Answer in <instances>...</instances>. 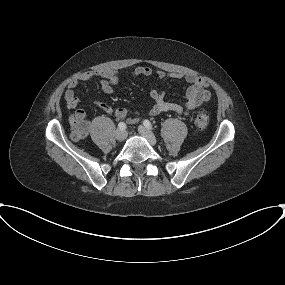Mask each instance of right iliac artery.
Masks as SVG:
<instances>
[{
  "label": "right iliac artery",
  "instance_id": "1",
  "mask_svg": "<svg viewBox=\"0 0 285 285\" xmlns=\"http://www.w3.org/2000/svg\"><path fill=\"white\" fill-rule=\"evenodd\" d=\"M118 128H119L120 130H125V129H126V124H125L124 122H120V123L118 124Z\"/></svg>",
  "mask_w": 285,
  "mask_h": 285
}]
</instances>
